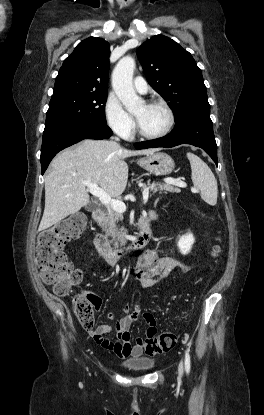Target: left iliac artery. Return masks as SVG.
I'll list each match as a JSON object with an SVG mask.
<instances>
[{
	"label": "left iliac artery",
	"instance_id": "1",
	"mask_svg": "<svg viewBox=\"0 0 264 415\" xmlns=\"http://www.w3.org/2000/svg\"><path fill=\"white\" fill-rule=\"evenodd\" d=\"M185 370H186V373L190 372V355L187 350L185 352Z\"/></svg>",
	"mask_w": 264,
	"mask_h": 415
}]
</instances>
